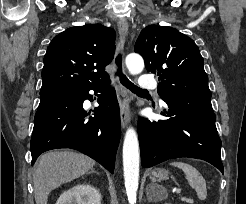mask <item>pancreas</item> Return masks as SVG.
Instances as JSON below:
<instances>
[{
	"label": "pancreas",
	"instance_id": "cf45deb5",
	"mask_svg": "<svg viewBox=\"0 0 246 204\" xmlns=\"http://www.w3.org/2000/svg\"><path fill=\"white\" fill-rule=\"evenodd\" d=\"M182 200L189 202V199H187V198H182Z\"/></svg>",
	"mask_w": 246,
	"mask_h": 204
}]
</instances>
